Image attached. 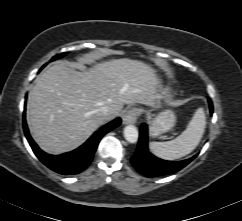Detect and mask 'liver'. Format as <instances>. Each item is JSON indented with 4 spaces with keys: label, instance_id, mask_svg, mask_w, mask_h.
Returning a JSON list of instances; mask_svg holds the SVG:
<instances>
[{
    "label": "liver",
    "instance_id": "6515ba94",
    "mask_svg": "<svg viewBox=\"0 0 242 221\" xmlns=\"http://www.w3.org/2000/svg\"><path fill=\"white\" fill-rule=\"evenodd\" d=\"M159 88L155 70L138 60L112 59L83 71L55 64L29 92L27 124L42 150L62 154L83 144L124 104L156 106ZM103 106L113 112L108 118L99 111Z\"/></svg>",
    "mask_w": 242,
    "mask_h": 221
}]
</instances>
